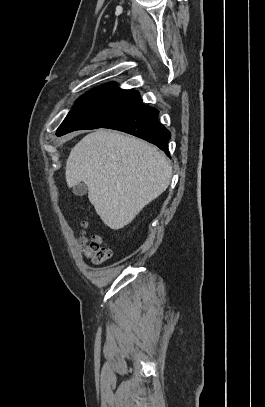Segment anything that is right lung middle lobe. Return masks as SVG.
Segmentation results:
<instances>
[{"instance_id":"1","label":"right lung middle lobe","mask_w":265,"mask_h":407,"mask_svg":"<svg viewBox=\"0 0 265 407\" xmlns=\"http://www.w3.org/2000/svg\"><path fill=\"white\" fill-rule=\"evenodd\" d=\"M141 105L142 100L137 91L116 88L113 83L104 85L76 101L56 135L104 127Z\"/></svg>"}]
</instances>
